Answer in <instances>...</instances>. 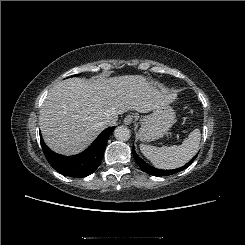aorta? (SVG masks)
Listing matches in <instances>:
<instances>
[{
	"label": "aorta",
	"mask_w": 245,
	"mask_h": 245,
	"mask_svg": "<svg viewBox=\"0 0 245 245\" xmlns=\"http://www.w3.org/2000/svg\"><path fill=\"white\" fill-rule=\"evenodd\" d=\"M130 134V130L125 126H119L114 131L115 138L120 141H128Z\"/></svg>",
	"instance_id": "1"
}]
</instances>
